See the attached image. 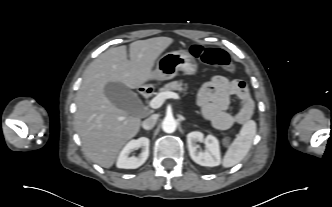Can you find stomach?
I'll use <instances>...</instances> for the list:
<instances>
[{
	"instance_id": "obj_1",
	"label": "stomach",
	"mask_w": 332,
	"mask_h": 207,
	"mask_svg": "<svg viewBox=\"0 0 332 207\" xmlns=\"http://www.w3.org/2000/svg\"><path fill=\"white\" fill-rule=\"evenodd\" d=\"M197 70L198 65L195 58L189 52L184 50L168 52L157 60L152 79H172L178 71H183L187 75H195Z\"/></svg>"
}]
</instances>
